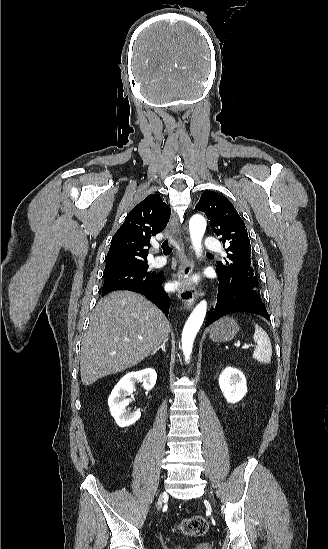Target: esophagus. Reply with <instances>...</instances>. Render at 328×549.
<instances>
[{
	"mask_svg": "<svg viewBox=\"0 0 328 549\" xmlns=\"http://www.w3.org/2000/svg\"><path fill=\"white\" fill-rule=\"evenodd\" d=\"M172 227V224H171ZM172 230H175L172 227ZM194 272V261L191 257V254L180 255V265L177 274L179 281V287L177 289L178 297L180 298L182 304L186 308H190L195 301L198 299V293L192 282V274Z\"/></svg>",
	"mask_w": 328,
	"mask_h": 549,
	"instance_id": "34e87169",
	"label": "esophagus"
}]
</instances>
